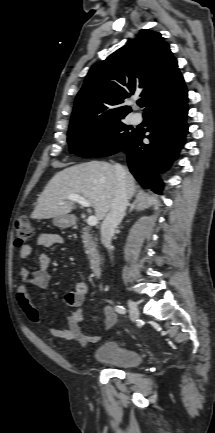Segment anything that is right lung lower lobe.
Returning a JSON list of instances; mask_svg holds the SVG:
<instances>
[{
    "label": "right lung lower lobe",
    "mask_w": 215,
    "mask_h": 433,
    "mask_svg": "<svg viewBox=\"0 0 215 433\" xmlns=\"http://www.w3.org/2000/svg\"><path fill=\"white\" fill-rule=\"evenodd\" d=\"M146 111L151 119L147 129L150 134L145 136L144 130H135L118 152L126 153L129 169L141 186L159 193L162 181L157 178V172L168 169L177 159L188 133L184 83L153 101ZM143 138H148L150 143L144 144Z\"/></svg>",
    "instance_id": "obj_1"
}]
</instances>
